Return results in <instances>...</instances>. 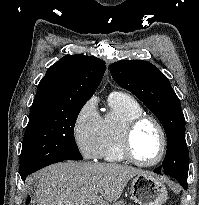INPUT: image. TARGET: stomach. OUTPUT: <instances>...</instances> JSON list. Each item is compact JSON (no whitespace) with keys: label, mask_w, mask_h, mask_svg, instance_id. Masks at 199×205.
Instances as JSON below:
<instances>
[{"label":"stomach","mask_w":199,"mask_h":205,"mask_svg":"<svg viewBox=\"0 0 199 205\" xmlns=\"http://www.w3.org/2000/svg\"><path fill=\"white\" fill-rule=\"evenodd\" d=\"M131 198L138 205H162L167 199V189L158 178L142 173L135 176L131 182ZM113 205H125L116 202Z\"/></svg>","instance_id":"obj_1"}]
</instances>
